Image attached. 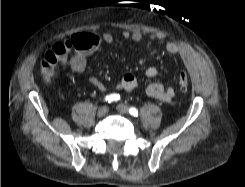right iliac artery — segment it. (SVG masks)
Listing matches in <instances>:
<instances>
[{
  "label": "right iliac artery",
  "instance_id": "obj_1",
  "mask_svg": "<svg viewBox=\"0 0 245 187\" xmlns=\"http://www.w3.org/2000/svg\"><path fill=\"white\" fill-rule=\"evenodd\" d=\"M105 100L109 103L117 102L118 100H120V95L117 93H113V94L107 95Z\"/></svg>",
  "mask_w": 245,
  "mask_h": 187
}]
</instances>
